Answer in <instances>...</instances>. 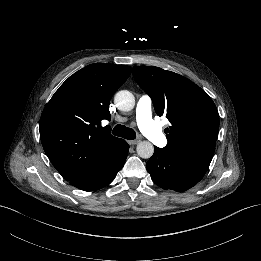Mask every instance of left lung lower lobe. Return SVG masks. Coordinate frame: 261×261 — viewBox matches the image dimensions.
<instances>
[{"mask_svg": "<svg viewBox=\"0 0 261 261\" xmlns=\"http://www.w3.org/2000/svg\"><path fill=\"white\" fill-rule=\"evenodd\" d=\"M154 149L146 168L153 182L165 190L183 192L193 187L203 178L212 160L193 152Z\"/></svg>", "mask_w": 261, "mask_h": 261, "instance_id": "0a47b994", "label": "left lung lower lobe"}]
</instances>
